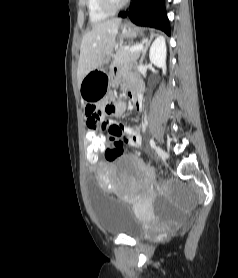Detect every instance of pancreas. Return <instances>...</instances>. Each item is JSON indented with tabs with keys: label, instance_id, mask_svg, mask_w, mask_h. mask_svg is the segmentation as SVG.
I'll list each match as a JSON object with an SVG mask.
<instances>
[{
	"label": "pancreas",
	"instance_id": "pancreas-1",
	"mask_svg": "<svg viewBox=\"0 0 238 278\" xmlns=\"http://www.w3.org/2000/svg\"><path fill=\"white\" fill-rule=\"evenodd\" d=\"M138 56V51L130 52L129 47L121 46L114 55L113 66L134 62Z\"/></svg>",
	"mask_w": 238,
	"mask_h": 278
}]
</instances>
